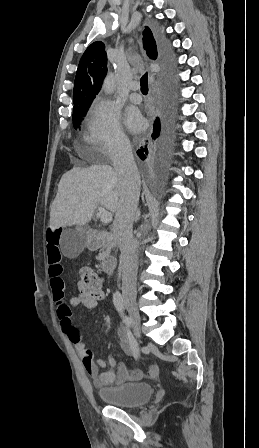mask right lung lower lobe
I'll use <instances>...</instances> for the list:
<instances>
[{"mask_svg":"<svg viewBox=\"0 0 259 448\" xmlns=\"http://www.w3.org/2000/svg\"><path fill=\"white\" fill-rule=\"evenodd\" d=\"M157 33L159 57L165 63L168 77L166 81V101L162 112V121H160L159 117L156 118L153 124V133L151 137L153 140H160L168 152L170 150V143L173 139L175 78L168 41L161 31H158ZM137 154L144 160L148 155V149L146 147L141 148L137 151Z\"/></svg>","mask_w":259,"mask_h":448,"instance_id":"obj_1","label":"right lung lower lobe"}]
</instances>
